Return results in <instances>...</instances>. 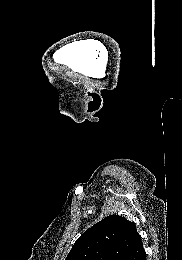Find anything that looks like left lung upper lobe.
I'll use <instances>...</instances> for the list:
<instances>
[{
	"label": "left lung upper lobe",
	"mask_w": 182,
	"mask_h": 260,
	"mask_svg": "<svg viewBox=\"0 0 182 260\" xmlns=\"http://www.w3.org/2000/svg\"><path fill=\"white\" fill-rule=\"evenodd\" d=\"M138 237L135 223L109 215L76 240L65 260H122Z\"/></svg>",
	"instance_id": "obj_1"
}]
</instances>
